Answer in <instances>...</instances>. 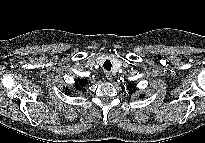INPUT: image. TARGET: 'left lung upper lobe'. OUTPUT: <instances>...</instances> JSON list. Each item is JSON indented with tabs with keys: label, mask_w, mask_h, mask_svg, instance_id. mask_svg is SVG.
Listing matches in <instances>:
<instances>
[{
	"label": "left lung upper lobe",
	"mask_w": 205,
	"mask_h": 143,
	"mask_svg": "<svg viewBox=\"0 0 205 143\" xmlns=\"http://www.w3.org/2000/svg\"><path fill=\"white\" fill-rule=\"evenodd\" d=\"M133 89V85H129V90H132Z\"/></svg>",
	"instance_id": "5c2ea615"
}]
</instances>
